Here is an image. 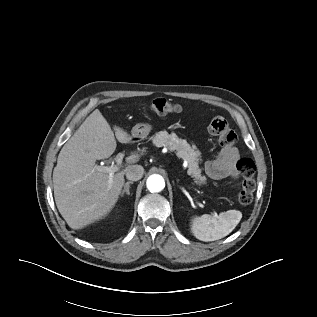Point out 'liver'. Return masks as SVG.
I'll return each mask as SVG.
<instances>
[{"mask_svg":"<svg viewBox=\"0 0 317 317\" xmlns=\"http://www.w3.org/2000/svg\"><path fill=\"white\" fill-rule=\"evenodd\" d=\"M120 143H130L132 136L114 126ZM114 133L101 112L94 110L62 147L53 170L56 206L72 229L83 227L105 217L121 194L124 174L130 164L140 160L134 152L127 166L112 176L96 165L109 158L116 149ZM110 179L112 182L109 183Z\"/></svg>","mask_w":317,"mask_h":317,"instance_id":"liver-1","label":"liver"}]
</instances>
